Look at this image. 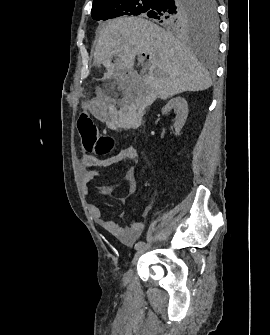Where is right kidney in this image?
<instances>
[{"label": "right kidney", "instance_id": "1", "mask_svg": "<svg viewBox=\"0 0 270 335\" xmlns=\"http://www.w3.org/2000/svg\"><path fill=\"white\" fill-rule=\"evenodd\" d=\"M170 110H174L175 114H177L174 120V128H175V136H178L179 132H181L188 116V104L185 98H181V96H177V98H172L164 108H162V114H167Z\"/></svg>", "mask_w": 270, "mask_h": 335}]
</instances>
